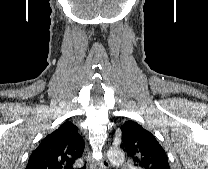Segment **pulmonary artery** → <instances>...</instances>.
<instances>
[{
	"label": "pulmonary artery",
	"instance_id": "obj_1",
	"mask_svg": "<svg viewBox=\"0 0 208 169\" xmlns=\"http://www.w3.org/2000/svg\"><path fill=\"white\" fill-rule=\"evenodd\" d=\"M120 168H122V169H134L133 167H130L128 165H121Z\"/></svg>",
	"mask_w": 208,
	"mask_h": 169
}]
</instances>
